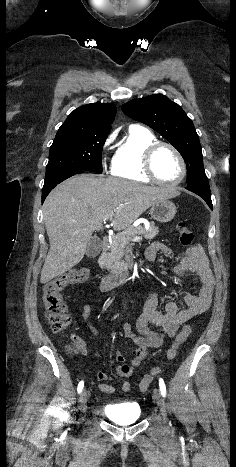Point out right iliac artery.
<instances>
[{"label": "right iliac artery", "mask_w": 236, "mask_h": 467, "mask_svg": "<svg viewBox=\"0 0 236 467\" xmlns=\"http://www.w3.org/2000/svg\"><path fill=\"white\" fill-rule=\"evenodd\" d=\"M83 387H84V382H83V381H80L79 384H78V387H77L78 393H81Z\"/></svg>", "instance_id": "right-iliac-artery-1"}]
</instances>
